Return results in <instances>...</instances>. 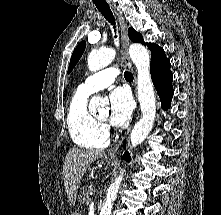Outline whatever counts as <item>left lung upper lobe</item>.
<instances>
[{
    "instance_id": "obj_1",
    "label": "left lung upper lobe",
    "mask_w": 221,
    "mask_h": 215,
    "mask_svg": "<svg viewBox=\"0 0 221 215\" xmlns=\"http://www.w3.org/2000/svg\"><path fill=\"white\" fill-rule=\"evenodd\" d=\"M128 32H129V38L131 41L139 42L144 45H147L148 48L150 49L151 53L158 47V45H156L154 43H145L142 35L140 33H138L137 31H135L133 28H129ZM85 47H86L85 41L80 42L76 46V48L71 56V60H70L69 68H68V73H70L72 71V69L74 68L76 63L79 61L80 57L82 56V54L85 50Z\"/></svg>"
}]
</instances>
